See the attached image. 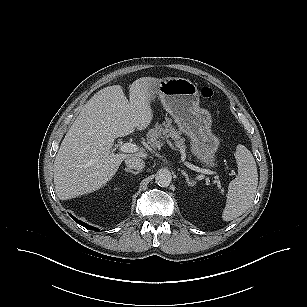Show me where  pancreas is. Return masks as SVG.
I'll list each match as a JSON object with an SVG mask.
<instances>
[{
    "instance_id": "pancreas-1",
    "label": "pancreas",
    "mask_w": 307,
    "mask_h": 307,
    "mask_svg": "<svg viewBox=\"0 0 307 307\" xmlns=\"http://www.w3.org/2000/svg\"><path fill=\"white\" fill-rule=\"evenodd\" d=\"M180 131L175 129L173 125H171L170 121H168L163 126L161 124H155L154 128L149 129L147 133V141L153 147H159L162 144V140L171 138L174 140V143L178 150L185 155L186 146L184 143V138L180 136Z\"/></svg>"
}]
</instances>
